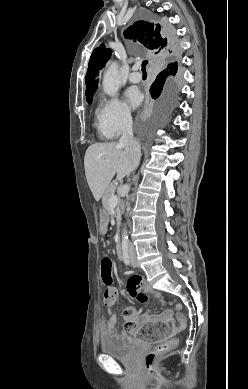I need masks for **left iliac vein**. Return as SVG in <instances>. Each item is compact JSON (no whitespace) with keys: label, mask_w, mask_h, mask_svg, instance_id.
<instances>
[{"label":"left iliac vein","mask_w":248,"mask_h":389,"mask_svg":"<svg viewBox=\"0 0 248 389\" xmlns=\"http://www.w3.org/2000/svg\"><path fill=\"white\" fill-rule=\"evenodd\" d=\"M130 261H131L132 267H136L137 266V260H136V257L134 255L130 256Z\"/></svg>","instance_id":"left-iliac-vein-1"}]
</instances>
